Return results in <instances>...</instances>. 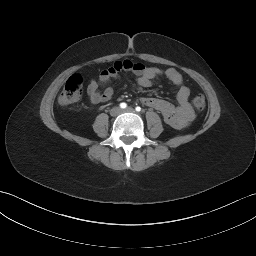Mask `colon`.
Masks as SVG:
<instances>
[{
	"label": "colon",
	"instance_id": "1",
	"mask_svg": "<svg viewBox=\"0 0 256 256\" xmlns=\"http://www.w3.org/2000/svg\"><path fill=\"white\" fill-rule=\"evenodd\" d=\"M83 79L79 74L70 76L59 96V103L61 105H69L77 102L82 95ZM192 104L197 110H203L206 106L205 96L197 93L192 98Z\"/></svg>",
	"mask_w": 256,
	"mask_h": 256
}]
</instances>
